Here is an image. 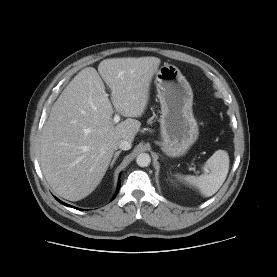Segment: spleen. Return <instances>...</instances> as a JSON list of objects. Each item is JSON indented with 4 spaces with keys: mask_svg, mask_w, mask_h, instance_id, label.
Here are the masks:
<instances>
[{
    "mask_svg": "<svg viewBox=\"0 0 277 277\" xmlns=\"http://www.w3.org/2000/svg\"><path fill=\"white\" fill-rule=\"evenodd\" d=\"M208 171L200 176L187 175L181 177L187 184L197 187L205 197L214 195L223 185L229 171V156L224 150H217L206 161Z\"/></svg>",
    "mask_w": 277,
    "mask_h": 277,
    "instance_id": "spleen-1",
    "label": "spleen"
}]
</instances>
